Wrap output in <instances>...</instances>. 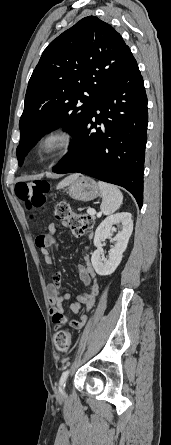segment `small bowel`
I'll return each instance as SVG.
<instances>
[{
	"label": "small bowel",
	"mask_w": 171,
	"mask_h": 445,
	"mask_svg": "<svg viewBox=\"0 0 171 445\" xmlns=\"http://www.w3.org/2000/svg\"><path fill=\"white\" fill-rule=\"evenodd\" d=\"M57 230V226L51 223L48 226L47 232L36 237V246L40 249L44 257V262L48 266H51L54 263V258L50 253V248L58 247V242L54 237ZM84 261V264H79L76 266V271L87 290L80 294L75 302L70 304L69 314L64 312L63 304L70 299V294L61 292V275L59 273L55 274L53 276V282L47 287V296L51 305L50 315L55 326H60L55 322L56 316H63L67 318L68 316L78 315L82 310L89 309L94 304L95 298L99 291V283L90 261V255L87 252L84 254ZM82 325L83 323L79 321L70 322V327L73 329H81Z\"/></svg>",
	"instance_id": "obj_1"
}]
</instances>
